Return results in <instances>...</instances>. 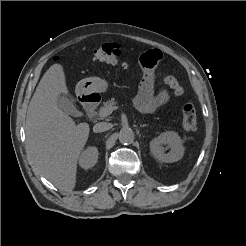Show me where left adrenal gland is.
I'll list each match as a JSON object with an SVG mask.
<instances>
[{
    "instance_id": "obj_1",
    "label": "left adrenal gland",
    "mask_w": 246,
    "mask_h": 246,
    "mask_svg": "<svg viewBox=\"0 0 246 246\" xmlns=\"http://www.w3.org/2000/svg\"><path fill=\"white\" fill-rule=\"evenodd\" d=\"M147 125L146 124H143V125H141L140 127H146Z\"/></svg>"
}]
</instances>
